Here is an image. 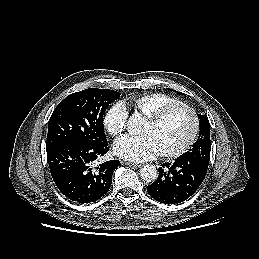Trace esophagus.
I'll use <instances>...</instances> for the list:
<instances>
[{
    "mask_svg": "<svg viewBox=\"0 0 259 259\" xmlns=\"http://www.w3.org/2000/svg\"><path fill=\"white\" fill-rule=\"evenodd\" d=\"M123 164H124V165L132 166V167H134V168H140V167H142V164L131 163V162H126V161H124Z\"/></svg>",
    "mask_w": 259,
    "mask_h": 259,
    "instance_id": "esophagus-1",
    "label": "esophagus"
}]
</instances>
